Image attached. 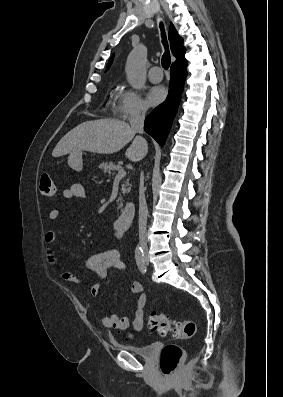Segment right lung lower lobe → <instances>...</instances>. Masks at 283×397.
<instances>
[{
    "label": "right lung lower lobe",
    "mask_w": 283,
    "mask_h": 397,
    "mask_svg": "<svg viewBox=\"0 0 283 397\" xmlns=\"http://www.w3.org/2000/svg\"><path fill=\"white\" fill-rule=\"evenodd\" d=\"M186 66V60L171 65L168 97L145 120L144 130L160 145L165 143L181 100L187 74Z\"/></svg>",
    "instance_id": "98d812e1"
}]
</instances>
